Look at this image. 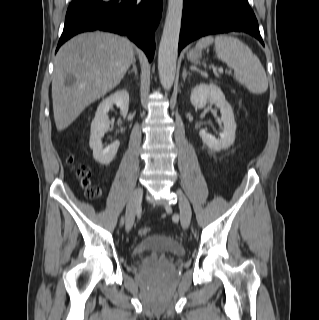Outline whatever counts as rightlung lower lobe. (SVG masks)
Listing matches in <instances>:
<instances>
[{
	"label": "right lung lower lobe",
	"mask_w": 319,
	"mask_h": 320,
	"mask_svg": "<svg viewBox=\"0 0 319 320\" xmlns=\"http://www.w3.org/2000/svg\"><path fill=\"white\" fill-rule=\"evenodd\" d=\"M161 13L162 0H72L57 50L78 33L104 30L128 35L151 61Z\"/></svg>",
	"instance_id": "right-lung-lower-lobe-1"
}]
</instances>
